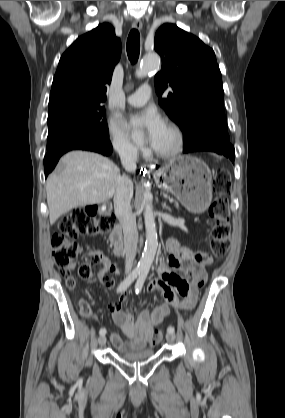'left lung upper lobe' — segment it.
<instances>
[{
  "label": "left lung upper lobe",
  "mask_w": 285,
  "mask_h": 418,
  "mask_svg": "<svg viewBox=\"0 0 285 418\" xmlns=\"http://www.w3.org/2000/svg\"><path fill=\"white\" fill-rule=\"evenodd\" d=\"M155 50L162 58L154 83L159 104L184 134V148L198 142H230L224 113L222 77L214 51L174 24L156 32Z\"/></svg>",
  "instance_id": "5c2ea615"
}]
</instances>
